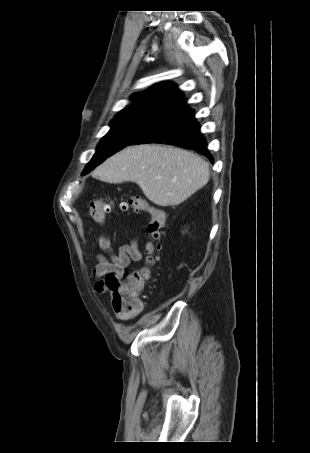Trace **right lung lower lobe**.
Masks as SVG:
<instances>
[{
	"instance_id": "1",
	"label": "right lung lower lobe",
	"mask_w": 310,
	"mask_h": 453,
	"mask_svg": "<svg viewBox=\"0 0 310 453\" xmlns=\"http://www.w3.org/2000/svg\"><path fill=\"white\" fill-rule=\"evenodd\" d=\"M141 143L177 145L195 150L213 162L194 110L187 106L185 99L170 107L128 145Z\"/></svg>"
}]
</instances>
